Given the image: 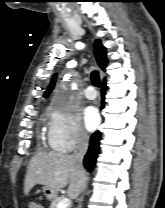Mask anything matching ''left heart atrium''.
I'll use <instances>...</instances> for the list:
<instances>
[{
	"mask_svg": "<svg viewBox=\"0 0 165 208\" xmlns=\"http://www.w3.org/2000/svg\"><path fill=\"white\" fill-rule=\"evenodd\" d=\"M83 119L85 127L88 130H93L97 127L99 124V113L98 110L95 107H87L83 112Z\"/></svg>",
	"mask_w": 165,
	"mask_h": 208,
	"instance_id": "39dd6f15",
	"label": "left heart atrium"
}]
</instances>
